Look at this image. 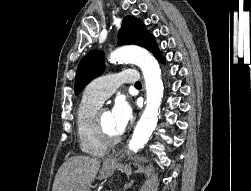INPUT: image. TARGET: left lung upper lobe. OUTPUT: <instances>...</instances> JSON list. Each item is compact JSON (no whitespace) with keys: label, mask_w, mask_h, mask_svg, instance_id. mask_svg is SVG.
I'll return each mask as SVG.
<instances>
[{"label":"left lung upper lobe","mask_w":251,"mask_h":191,"mask_svg":"<svg viewBox=\"0 0 251 191\" xmlns=\"http://www.w3.org/2000/svg\"><path fill=\"white\" fill-rule=\"evenodd\" d=\"M118 44H134L149 50L155 57L160 53L154 36L150 34L142 21L134 16H127L122 21V26L118 33ZM104 71V55L100 51H91L80 61L76 78L75 94L81 90L95 77Z\"/></svg>","instance_id":"1"}]
</instances>
